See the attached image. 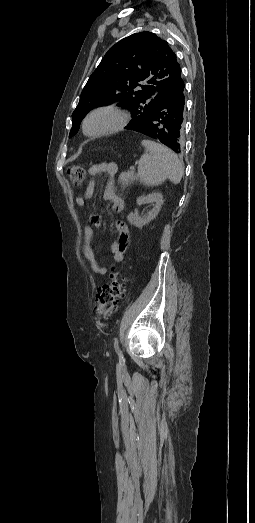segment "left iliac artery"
Masks as SVG:
<instances>
[{"instance_id":"left-iliac-artery-1","label":"left iliac artery","mask_w":255,"mask_h":523,"mask_svg":"<svg viewBox=\"0 0 255 523\" xmlns=\"http://www.w3.org/2000/svg\"><path fill=\"white\" fill-rule=\"evenodd\" d=\"M114 348H115V350H116V352H117V354L119 356V361L121 362L123 360V356H122V353H121V351L119 349L118 339L117 338H115V341H114Z\"/></svg>"}]
</instances>
